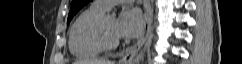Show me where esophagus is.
Instances as JSON below:
<instances>
[{
	"mask_svg": "<svg viewBox=\"0 0 242 64\" xmlns=\"http://www.w3.org/2000/svg\"><path fill=\"white\" fill-rule=\"evenodd\" d=\"M150 10H149V1H147V6H146V11H145V16H144V28L141 37L139 40L130 48H128L125 51V54L123 57L120 59L121 64H129L134 57V55L139 51V49L142 47V45L145 43L147 37H148V32L150 29Z\"/></svg>",
	"mask_w": 242,
	"mask_h": 64,
	"instance_id": "34e87169",
	"label": "esophagus"
}]
</instances>
